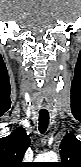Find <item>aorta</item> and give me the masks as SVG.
I'll return each mask as SVG.
<instances>
[{
    "mask_svg": "<svg viewBox=\"0 0 81 167\" xmlns=\"http://www.w3.org/2000/svg\"><path fill=\"white\" fill-rule=\"evenodd\" d=\"M36 160L38 162H57L58 161V156L54 152H48V153H43L40 154Z\"/></svg>",
    "mask_w": 81,
    "mask_h": 167,
    "instance_id": "1",
    "label": "aorta"
}]
</instances>
